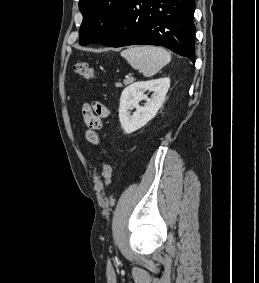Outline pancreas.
Listing matches in <instances>:
<instances>
[{"instance_id": "cf45deb5", "label": "pancreas", "mask_w": 259, "mask_h": 283, "mask_svg": "<svg viewBox=\"0 0 259 283\" xmlns=\"http://www.w3.org/2000/svg\"><path fill=\"white\" fill-rule=\"evenodd\" d=\"M134 78L133 77H128V78H126V79H124V81H123V84L124 85H129V84H131L132 82H134ZM117 85L118 86H122V84L121 83H117Z\"/></svg>"}]
</instances>
